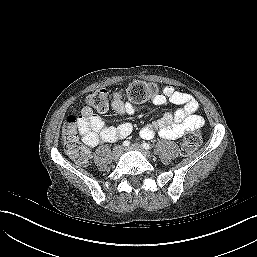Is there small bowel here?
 <instances>
[{
  "label": "small bowel",
  "instance_id": "1",
  "mask_svg": "<svg viewBox=\"0 0 257 257\" xmlns=\"http://www.w3.org/2000/svg\"><path fill=\"white\" fill-rule=\"evenodd\" d=\"M168 101L180 107L172 113L161 115L154 122L143 127L140 132L141 138L149 140L158 133L165 139H177L202 127L204 123L202 117L195 114L198 103L191 95L167 86L152 100L155 105H163ZM112 107L120 116L133 115L138 111L137 106L122 101L117 92L113 94ZM78 129L83 141L89 147H95L103 142H114L126 138L132 132V125L123 122L117 126H107L101 117L83 108L78 121Z\"/></svg>",
  "mask_w": 257,
  "mask_h": 257
}]
</instances>
